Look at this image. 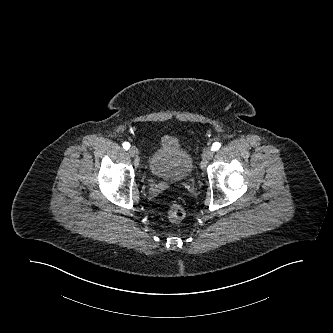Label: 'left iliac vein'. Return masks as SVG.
<instances>
[{
  "instance_id": "1",
  "label": "left iliac vein",
  "mask_w": 333,
  "mask_h": 333,
  "mask_svg": "<svg viewBox=\"0 0 333 333\" xmlns=\"http://www.w3.org/2000/svg\"><path fill=\"white\" fill-rule=\"evenodd\" d=\"M213 150L210 148H205L202 152V160L204 163H207L213 157Z\"/></svg>"
}]
</instances>
